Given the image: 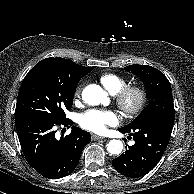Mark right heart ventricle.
<instances>
[{"label": "right heart ventricle", "instance_id": "e07e8e85", "mask_svg": "<svg viewBox=\"0 0 194 194\" xmlns=\"http://www.w3.org/2000/svg\"><path fill=\"white\" fill-rule=\"evenodd\" d=\"M101 84L112 95L117 94L120 90L128 85L127 80L114 73H105L99 77Z\"/></svg>", "mask_w": 194, "mask_h": 194}]
</instances>
